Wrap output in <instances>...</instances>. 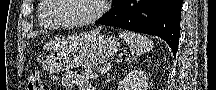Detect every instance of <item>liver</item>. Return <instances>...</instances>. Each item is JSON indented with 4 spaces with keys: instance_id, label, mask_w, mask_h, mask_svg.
<instances>
[{
    "instance_id": "obj_1",
    "label": "liver",
    "mask_w": 216,
    "mask_h": 90,
    "mask_svg": "<svg viewBox=\"0 0 216 90\" xmlns=\"http://www.w3.org/2000/svg\"><path fill=\"white\" fill-rule=\"evenodd\" d=\"M76 40H82V38H80V36H76Z\"/></svg>"
}]
</instances>
